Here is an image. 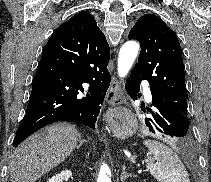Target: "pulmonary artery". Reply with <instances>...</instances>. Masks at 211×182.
Listing matches in <instances>:
<instances>
[{
  "label": "pulmonary artery",
  "mask_w": 211,
  "mask_h": 182,
  "mask_svg": "<svg viewBox=\"0 0 211 182\" xmlns=\"http://www.w3.org/2000/svg\"><path fill=\"white\" fill-rule=\"evenodd\" d=\"M145 98L149 102L152 101V94H151V91L148 87L145 88Z\"/></svg>",
  "instance_id": "obj_1"
}]
</instances>
